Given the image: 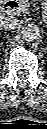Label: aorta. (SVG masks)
<instances>
[{
	"instance_id": "aorta-1",
	"label": "aorta",
	"mask_w": 47,
	"mask_h": 129,
	"mask_svg": "<svg viewBox=\"0 0 47 129\" xmlns=\"http://www.w3.org/2000/svg\"><path fill=\"white\" fill-rule=\"evenodd\" d=\"M22 38L27 42H35L40 38V29L36 24L28 23L21 28Z\"/></svg>"
}]
</instances>
